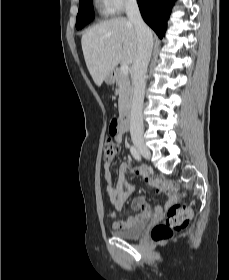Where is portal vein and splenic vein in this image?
Returning a JSON list of instances; mask_svg holds the SVG:
<instances>
[{
	"label": "portal vein and splenic vein",
	"mask_w": 229,
	"mask_h": 280,
	"mask_svg": "<svg viewBox=\"0 0 229 280\" xmlns=\"http://www.w3.org/2000/svg\"><path fill=\"white\" fill-rule=\"evenodd\" d=\"M120 71L122 74L127 75L129 72V64L123 63L120 67Z\"/></svg>",
	"instance_id": "obj_1"
}]
</instances>
